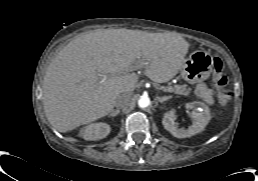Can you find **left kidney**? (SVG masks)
Returning <instances> with one entry per match:
<instances>
[{"label":"left kidney","mask_w":258,"mask_h":181,"mask_svg":"<svg viewBox=\"0 0 258 181\" xmlns=\"http://www.w3.org/2000/svg\"><path fill=\"white\" fill-rule=\"evenodd\" d=\"M187 109H193L192 118L193 124L188 129H179L174 122L175 109L164 114L162 124L173 136L177 138H187L204 130L211 119L209 108L202 102H192L186 105Z\"/></svg>","instance_id":"5707ae66"}]
</instances>
